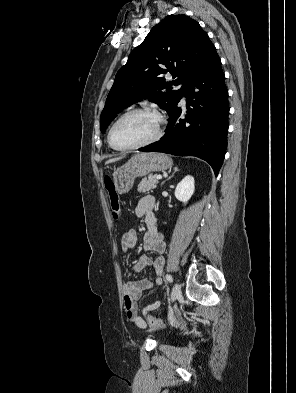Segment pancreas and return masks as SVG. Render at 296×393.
Here are the masks:
<instances>
[{"instance_id":"cf45deb5","label":"pancreas","mask_w":296,"mask_h":393,"mask_svg":"<svg viewBox=\"0 0 296 393\" xmlns=\"http://www.w3.org/2000/svg\"><path fill=\"white\" fill-rule=\"evenodd\" d=\"M157 184L158 180L156 179V176L144 178L138 185V192H149L151 189H155L157 187Z\"/></svg>"}]
</instances>
